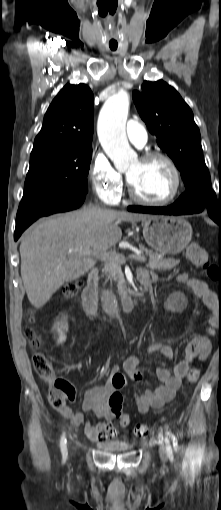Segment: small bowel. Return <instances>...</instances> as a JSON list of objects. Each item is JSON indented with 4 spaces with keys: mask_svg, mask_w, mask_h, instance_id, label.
Wrapping results in <instances>:
<instances>
[{
    "mask_svg": "<svg viewBox=\"0 0 221 510\" xmlns=\"http://www.w3.org/2000/svg\"><path fill=\"white\" fill-rule=\"evenodd\" d=\"M148 275L149 284L157 281V276L144 269ZM178 281L186 284L196 296L202 299L205 306L211 311L207 316V334L200 335L191 340L188 344L184 358L175 364L172 371L165 367L158 368L157 378L162 382L154 389H146L142 393H135V403L137 410L141 414H146L150 409H160L163 405L171 401L181 386L182 380L187 376L190 364L194 360L204 361L211 353V344L209 336L214 335L220 324L217 313L221 304L217 295L209 288L208 284L198 278L189 277L187 274L178 276ZM146 353H158L172 361L174 352L170 345L163 342H154L144 350ZM139 355L129 354L121 366H114L111 374L123 370L125 374L135 382L143 379V373L138 368ZM115 392L109 380L105 385L86 388L83 392L82 408L85 412H92L103 422L93 424L89 421L84 422V415L81 412H73L70 408L59 411L62 416L70 420L75 426L84 424L86 436L92 441L108 440L116 436L117 431L112 427V421L116 419V408L109 402L110 396Z\"/></svg>",
    "mask_w": 221,
    "mask_h": 510,
    "instance_id": "1",
    "label": "small bowel"
}]
</instances>
